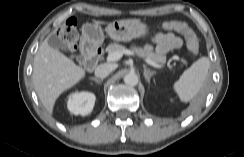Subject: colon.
<instances>
[{"label":"colon","instance_id":"colon-1","mask_svg":"<svg viewBox=\"0 0 244 157\" xmlns=\"http://www.w3.org/2000/svg\"><path fill=\"white\" fill-rule=\"evenodd\" d=\"M162 27L166 30H172L180 33L186 42V45L193 55H197L199 52V41L194 32L184 23L180 21H167L162 24ZM60 38L65 43L71 56L76 46L77 30L76 24L73 21H68L59 33Z\"/></svg>","mask_w":244,"mask_h":157}]
</instances>
